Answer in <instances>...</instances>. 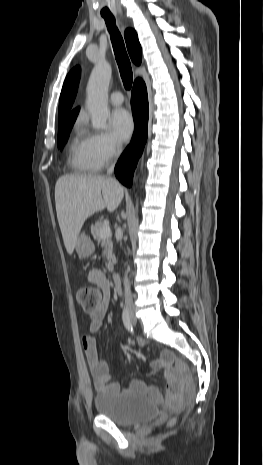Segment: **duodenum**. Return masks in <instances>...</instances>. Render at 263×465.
I'll return each instance as SVG.
<instances>
[{
  "instance_id": "410a0bca",
  "label": "duodenum",
  "mask_w": 263,
  "mask_h": 465,
  "mask_svg": "<svg viewBox=\"0 0 263 465\" xmlns=\"http://www.w3.org/2000/svg\"><path fill=\"white\" fill-rule=\"evenodd\" d=\"M113 283H114V286H115V289L118 293L121 292V278H120V275L115 273L113 274Z\"/></svg>"
}]
</instances>
